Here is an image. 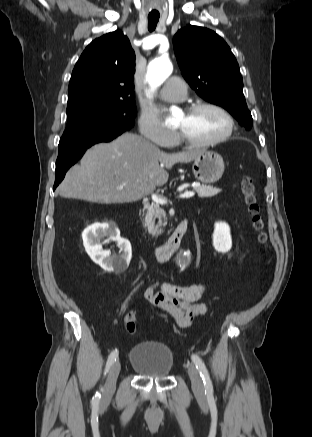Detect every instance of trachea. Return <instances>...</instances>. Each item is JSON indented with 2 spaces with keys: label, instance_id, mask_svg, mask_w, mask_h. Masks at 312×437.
Masks as SVG:
<instances>
[{
  "label": "trachea",
  "instance_id": "1",
  "mask_svg": "<svg viewBox=\"0 0 312 437\" xmlns=\"http://www.w3.org/2000/svg\"><path fill=\"white\" fill-rule=\"evenodd\" d=\"M159 17H160L159 14H149L148 15V30L150 32L155 30L157 23L159 21Z\"/></svg>",
  "mask_w": 312,
  "mask_h": 437
}]
</instances>
